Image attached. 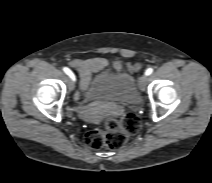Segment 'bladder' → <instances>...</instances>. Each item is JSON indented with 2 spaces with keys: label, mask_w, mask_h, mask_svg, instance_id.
I'll list each match as a JSON object with an SVG mask.
<instances>
[{
  "label": "bladder",
  "mask_w": 212,
  "mask_h": 183,
  "mask_svg": "<svg viewBox=\"0 0 212 183\" xmlns=\"http://www.w3.org/2000/svg\"><path fill=\"white\" fill-rule=\"evenodd\" d=\"M84 97L88 101L113 100L134 105L138 102L136 81L126 72L101 73L92 79Z\"/></svg>",
  "instance_id": "1"
}]
</instances>
